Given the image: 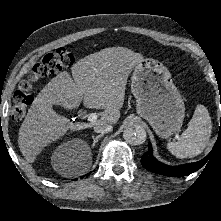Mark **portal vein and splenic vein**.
Returning <instances> with one entry per match:
<instances>
[{
  "label": "portal vein and splenic vein",
  "mask_w": 221,
  "mask_h": 221,
  "mask_svg": "<svg viewBox=\"0 0 221 221\" xmlns=\"http://www.w3.org/2000/svg\"><path fill=\"white\" fill-rule=\"evenodd\" d=\"M98 116L96 113H91L88 115L87 120L91 123L95 122L97 120Z\"/></svg>",
  "instance_id": "18ae733b"
}]
</instances>
